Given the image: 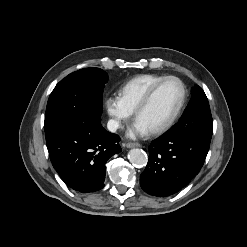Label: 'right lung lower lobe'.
<instances>
[{"mask_svg":"<svg viewBox=\"0 0 247 247\" xmlns=\"http://www.w3.org/2000/svg\"><path fill=\"white\" fill-rule=\"evenodd\" d=\"M119 141L100 122L80 123L46 135L53 167L69 187L82 193L104 187L105 164L121 152Z\"/></svg>","mask_w":247,"mask_h":247,"instance_id":"right-lung-lower-lobe-1","label":"right lung lower lobe"}]
</instances>
